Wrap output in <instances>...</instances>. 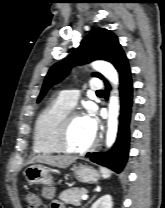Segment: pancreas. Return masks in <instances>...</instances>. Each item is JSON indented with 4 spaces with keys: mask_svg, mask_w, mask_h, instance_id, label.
<instances>
[{
    "mask_svg": "<svg viewBox=\"0 0 165 208\" xmlns=\"http://www.w3.org/2000/svg\"><path fill=\"white\" fill-rule=\"evenodd\" d=\"M87 193L85 188L74 187L63 191L59 195V199L66 204H72L75 206L81 205V197Z\"/></svg>",
    "mask_w": 165,
    "mask_h": 208,
    "instance_id": "pancreas-1",
    "label": "pancreas"
}]
</instances>
